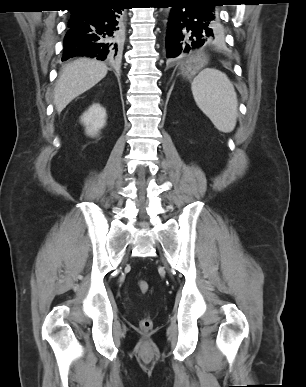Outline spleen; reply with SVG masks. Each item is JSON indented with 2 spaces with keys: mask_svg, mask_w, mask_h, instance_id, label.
Returning a JSON list of instances; mask_svg holds the SVG:
<instances>
[{
  "mask_svg": "<svg viewBox=\"0 0 306 387\" xmlns=\"http://www.w3.org/2000/svg\"><path fill=\"white\" fill-rule=\"evenodd\" d=\"M191 90L197 106L219 131H233L237 122L238 100L226 74L205 68L193 79Z\"/></svg>",
  "mask_w": 306,
  "mask_h": 387,
  "instance_id": "3e777b00",
  "label": "spleen"
}]
</instances>
